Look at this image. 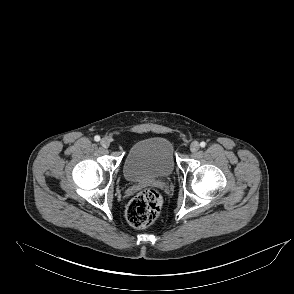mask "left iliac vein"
<instances>
[{
  "mask_svg": "<svg viewBox=\"0 0 294 294\" xmlns=\"http://www.w3.org/2000/svg\"><path fill=\"white\" fill-rule=\"evenodd\" d=\"M199 150V143L197 141H193L190 145V151L195 153Z\"/></svg>",
  "mask_w": 294,
  "mask_h": 294,
  "instance_id": "1",
  "label": "left iliac vein"
}]
</instances>
